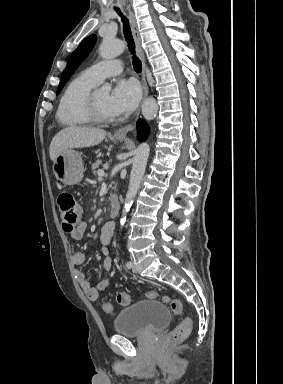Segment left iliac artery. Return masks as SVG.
<instances>
[{"instance_id":"44dca946","label":"left iliac artery","mask_w":283,"mask_h":384,"mask_svg":"<svg viewBox=\"0 0 283 384\" xmlns=\"http://www.w3.org/2000/svg\"><path fill=\"white\" fill-rule=\"evenodd\" d=\"M126 267H127V268H131V267H132L131 262H127V263H126Z\"/></svg>"}]
</instances>
